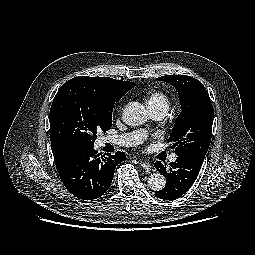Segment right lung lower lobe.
<instances>
[{"mask_svg":"<svg viewBox=\"0 0 255 255\" xmlns=\"http://www.w3.org/2000/svg\"><path fill=\"white\" fill-rule=\"evenodd\" d=\"M51 148L63 184L82 200L102 196L112 183L115 167L126 160L120 151L102 157L93 145L71 140L51 141Z\"/></svg>","mask_w":255,"mask_h":255,"instance_id":"obj_1","label":"right lung lower lobe"}]
</instances>
